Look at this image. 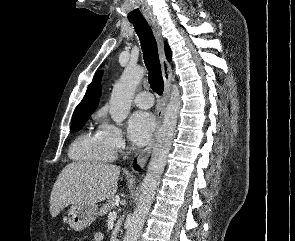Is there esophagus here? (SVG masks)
<instances>
[{"label": "esophagus", "instance_id": "34e87169", "mask_svg": "<svg viewBox=\"0 0 295 241\" xmlns=\"http://www.w3.org/2000/svg\"><path fill=\"white\" fill-rule=\"evenodd\" d=\"M148 23L152 27L153 33L157 39L158 46H159V56H160V62H161L162 76L164 80V93L157 106V126H156L155 134L152 140L150 141V143L140 152L137 159V163L141 168L146 165L150 157V154L152 152V149L154 147L156 136L161 126L163 116L166 110L168 98L170 95L171 79H172V68L170 63L167 61L165 53H164V46H163L160 26L158 25L156 20L153 18L148 19ZM132 171L134 172V169H132Z\"/></svg>", "mask_w": 295, "mask_h": 241}]
</instances>
